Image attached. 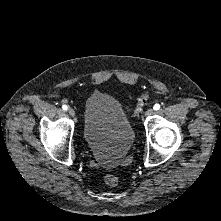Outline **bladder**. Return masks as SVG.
<instances>
[{"label": "bladder", "instance_id": "1", "mask_svg": "<svg viewBox=\"0 0 221 221\" xmlns=\"http://www.w3.org/2000/svg\"><path fill=\"white\" fill-rule=\"evenodd\" d=\"M84 139L94 158L114 167L131 149L135 133L121 103L107 93H93L85 101Z\"/></svg>", "mask_w": 221, "mask_h": 221}]
</instances>
